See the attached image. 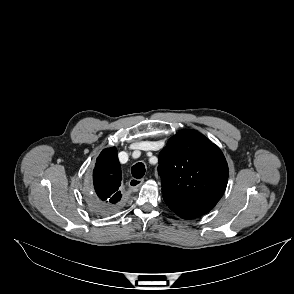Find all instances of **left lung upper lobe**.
<instances>
[{"label": "left lung upper lobe", "instance_id": "1", "mask_svg": "<svg viewBox=\"0 0 294 294\" xmlns=\"http://www.w3.org/2000/svg\"><path fill=\"white\" fill-rule=\"evenodd\" d=\"M158 173L167 206L192 219L209 212L221 199L229 171L215 144L197 131L183 130L160 152Z\"/></svg>", "mask_w": 294, "mask_h": 294}]
</instances>
